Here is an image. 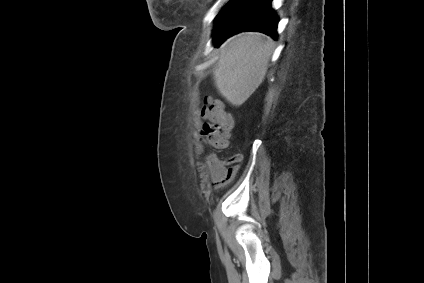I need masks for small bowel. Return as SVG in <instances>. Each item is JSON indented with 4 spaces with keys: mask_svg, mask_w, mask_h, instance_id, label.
I'll return each mask as SVG.
<instances>
[{
    "mask_svg": "<svg viewBox=\"0 0 424 283\" xmlns=\"http://www.w3.org/2000/svg\"><path fill=\"white\" fill-rule=\"evenodd\" d=\"M241 162L240 154L228 158H219L213 155V161L208 163V173L213 187L221 189L229 185L238 173Z\"/></svg>",
    "mask_w": 424,
    "mask_h": 283,
    "instance_id": "c3829d8e",
    "label": "small bowel"
}]
</instances>
